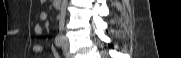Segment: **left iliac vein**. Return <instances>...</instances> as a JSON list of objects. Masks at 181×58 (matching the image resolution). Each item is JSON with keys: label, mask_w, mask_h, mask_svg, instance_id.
<instances>
[{"label": "left iliac vein", "mask_w": 181, "mask_h": 58, "mask_svg": "<svg viewBox=\"0 0 181 58\" xmlns=\"http://www.w3.org/2000/svg\"><path fill=\"white\" fill-rule=\"evenodd\" d=\"M63 53L65 55L66 58H70L71 57V54L69 52V48H68V41L66 39V37H63Z\"/></svg>", "instance_id": "obj_1"}]
</instances>
